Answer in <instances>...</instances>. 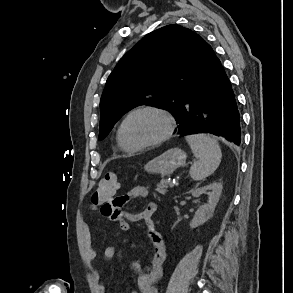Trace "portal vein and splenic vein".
I'll return each mask as SVG.
<instances>
[{
    "label": "portal vein and splenic vein",
    "mask_w": 293,
    "mask_h": 293,
    "mask_svg": "<svg viewBox=\"0 0 293 293\" xmlns=\"http://www.w3.org/2000/svg\"><path fill=\"white\" fill-rule=\"evenodd\" d=\"M175 185H176L175 182H171V183H170V187H174Z\"/></svg>",
    "instance_id": "obj_1"
}]
</instances>
